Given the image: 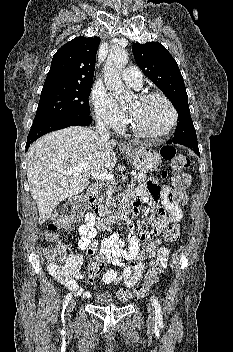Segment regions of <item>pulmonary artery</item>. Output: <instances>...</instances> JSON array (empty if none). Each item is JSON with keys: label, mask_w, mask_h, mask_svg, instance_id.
I'll return each mask as SVG.
<instances>
[{"label": "pulmonary artery", "mask_w": 233, "mask_h": 352, "mask_svg": "<svg viewBox=\"0 0 233 352\" xmlns=\"http://www.w3.org/2000/svg\"><path fill=\"white\" fill-rule=\"evenodd\" d=\"M123 81L131 87L140 88L142 84L141 72L135 67H128L122 72Z\"/></svg>", "instance_id": "obj_1"}]
</instances>
